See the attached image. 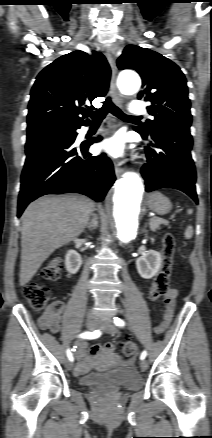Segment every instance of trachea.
Masks as SVG:
<instances>
[{"mask_svg": "<svg viewBox=\"0 0 212 438\" xmlns=\"http://www.w3.org/2000/svg\"><path fill=\"white\" fill-rule=\"evenodd\" d=\"M109 112L121 119L137 117L124 114L117 106L113 104L110 97L106 98L100 109L96 111H89L88 115L93 121H102Z\"/></svg>", "mask_w": 212, "mask_h": 438, "instance_id": "obj_1", "label": "trachea"}]
</instances>
